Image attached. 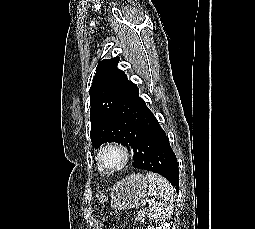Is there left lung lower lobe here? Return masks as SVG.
I'll return each instance as SVG.
<instances>
[{"mask_svg":"<svg viewBox=\"0 0 255 229\" xmlns=\"http://www.w3.org/2000/svg\"><path fill=\"white\" fill-rule=\"evenodd\" d=\"M119 127L129 137L134 150L132 166L164 176L179 191V170L176 156L166 133L139 97L133 83L116 112Z\"/></svg>","mask_w":255,"mask_h":229,"instance_id":"1","label":"left lung lower lobe"}]
</instances>
